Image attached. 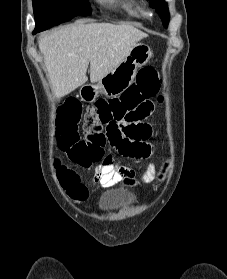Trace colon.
I'll return each mask as SVG.
<instances>
[{
    "instance_id": "colon-1",
    "label": "colon",
    "mask_w": 227,
    "mask_h": 279,
    "mask_svg": "<svg viewBox=\"0 0 227 279\" xmlns=\"http://www.w3.org/2000/svg\"><path fill=\"white\" fill-rule=\"evenodd\" d=\"M159 88L157 72L152 68H144L138 71L134 85L118 97L98 99L95 104L87 107L85 113L78 100L68 101L58 111L56 121V136L61 150L72 163L89 167L102 158L107 141L123 132L132 141L127 144L128 157H148L152 151L148 143L152 128L142 121L153 113V100L162 102ZM82 119L85 125L83 138L78 131ZM55 166L58 171H63L66 191L76 195L83 188L77 173L67 169L59 160L55 161Z\"/></svg>"
}]
</instances>
